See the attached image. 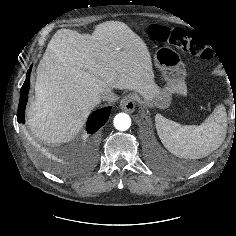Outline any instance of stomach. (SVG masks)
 <instances>
[{
	"instance_id": "stomach-1",
	"label": "stomach",
	"mask_w": 236,
	"mask_h": 236,
	"mask_svg": "<svg viewBox=\"0 0 236 236\" xmlns=\"http://www.w3.org/2000/svg\"><path fill=\"white\" fill-rule=\"evenodd\" d=\"M154 63L162 72L165 84L141 94L139 102L148 107L166 109L176 93L185 92L186 70L180 55L170 47H161L154 54Z\"/></svg>"
}]
</instances>
